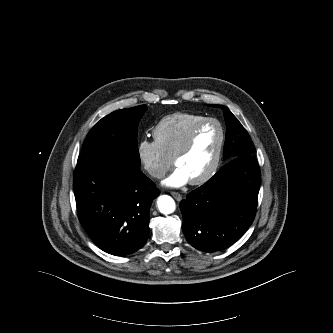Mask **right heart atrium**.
Masks as SVG:
<instances>
[{
  "mask_svg": "<svg viewBox=\"0 0 333 333\" xmlns=\"http://www.w3.org/2000/svg\"><path fill=\"white\" fill-rule=\"evenodd\" d=\"M137 157L145 172L153 179H161L170 161L160 150L155 141L142 139L137 144Z\"/></svg>",
  "mask_w": 333,
  "mask_h": 333,
  "instance_id": "right-heart-atrium-1",
  "label": "right heart atrium"
}]
</instances>
